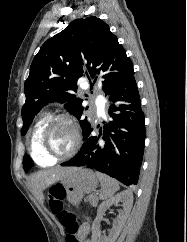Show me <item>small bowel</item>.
<instances>
[{"label":"small bowel","mask_w":187,"mask_h":242,"mask_svg":"<svg viewBox=\"0 0 187 242\" xmlns=\"http://www.w3.org/2000/svg\"><path fill=\"white\" fill-rule=\"evenodd\" d=\"M90 231V225L88 223H84L78 230V237L82 240V242H91L90 240H86V237Z\"/></svg>","instance_id":"obj_1"}]
</instances>
